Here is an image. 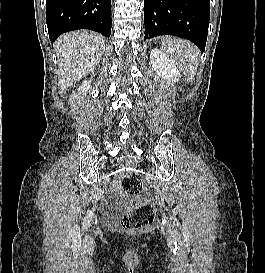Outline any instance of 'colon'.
I'll use <instances>...</instances> for the list:
<instances>
[{"mask_svg":"<svg viewBox=\"0 0 265 273\" xmlns=\"http://www.w3.org/2000/svg\"><path fill=\"white\" fill-rule=\"evenodd\" d=\"M122 187L130 197V203L123 211L119 227L124 230H144L149 228L155 219L153 204L141 197L143 182L138 173L129 172L122 179Z\"/></svg>","mask_w":265,"mask_h":273,"instance_id":"colon-1","label":"colon"}]
</instances>
